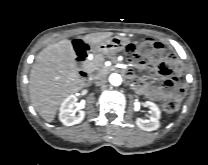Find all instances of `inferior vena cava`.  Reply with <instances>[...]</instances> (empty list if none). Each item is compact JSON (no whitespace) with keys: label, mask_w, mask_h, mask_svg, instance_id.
Here are the masks:
<instances>
[{"label":"inferior vena cava","mask_w":208,"mask_h":165,"mask_svg":"<svg viewBox=\"0 0 208 165\" xmlns=\"http://www.w3.org/2000/svg\"><path fill=\"white\" fill-rule=\"evenodd\" d=\"M106 82H107V79H106V77L103 76V75H99V76H97L96 79H95V84H96V85H103V84H105Z\"/></svg>","instance_id":"1"}]
</instances>
